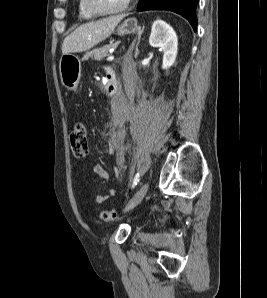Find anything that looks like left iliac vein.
Masks as SVG:
<instances>
[{"instance_id": "obj_1", "label": "left iliac vein", "mask_w": 267, "mask_h": 298, "mask_svg": "<svg viewBox=\"0 0 267 298\" xmlns=\"http://www.w3.org/2000/svg\"><path fill=\"white\" fill-rule=\"evenodd\" d=\"M148 188H149V183L148 182L144 183L140 187V189L129 200V202L125 206L124 211L127 212V211L133 209L134 207H136L142 201L144 196L146 195Z\"/></svg>"}]
</instances>
